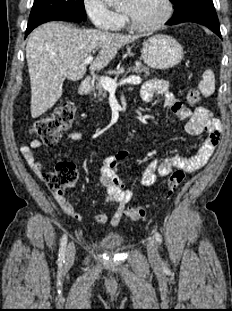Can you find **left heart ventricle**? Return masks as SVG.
Here are the masks:
<instances>
[{
  "instance_id": "left-heart-ventricle-1",
  "label": "left heart ventricle",
  "mask_w": 232,
  "mask_h": 311,
  "mask_svg": "<svg viewBox=\"0 0 232 311\" xmlns=\"http://www.w3.org/2000/svg\"><path fill=\"white\" fill-rule=\"evenodd\" d=\"M122 9L131 16L136 24L148 26L161 18L164 4L162 0H125Z\"/></svg>"
}]
</instances>
